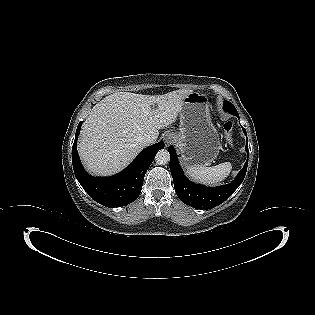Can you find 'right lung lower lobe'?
<instances>
[{"label": "right lung lower lobe", "mask_w": 315, "mask_h": 315, "mask_svg": "<svg viewBox=\"0 0 315 315\" xmlns=\"http://www.w3.org/2000/svg\"><path fill=\"white\" fill-rule=\"evenodd\" d=\"M82 122L78 124L75 142L72 147V163L75 176L83 189L96 202L106 207L127 205L139 196L146 171L157 151L164 148L161 141L143 149L131 164L117 175L111 177H92L84 170L77 152V138Z\"/></svg>", "instance_id": "right-lung-lower-lobe-1"}]
</instances>
